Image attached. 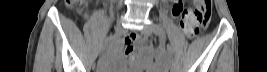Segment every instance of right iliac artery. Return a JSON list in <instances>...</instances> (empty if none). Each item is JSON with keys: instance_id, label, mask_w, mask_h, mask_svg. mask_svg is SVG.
<instances>
[{"instance_id": "obj_1", "label": "right iliac artery", "mask_w": 267, "mask_h": 72, "mask_svg": "<svg viewBox=\"0 0 267 72\" xmlns=\"http://www.w3.org/2000/svg\"><path fill=\"white\" fill-rule=\"evenodd\" d=\"M117 37L118 36L116 34L115 35H110L109 37H107V38L104 39V41L102 43V46L105 45V44H107L108 42L115 41L117 39Z\"/></svg>"}]
</instances>
